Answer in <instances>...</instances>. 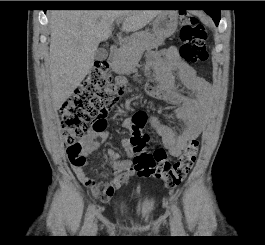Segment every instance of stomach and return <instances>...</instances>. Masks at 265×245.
I'll list each match as a JSON object with an SVG mask.
<instances>
[{"instance_id": "stomach-1", "label": "stomach", "mask_w": 265, "mask_h": 245, "mask_svg": "<svg viewBox=\"0 0 265 245\" xmlns=\"http://www.w3.org/2000/svg\"><path fill=\"white\" fill-rule=\"evenodd\" d=\"M153 34L157 38H167L174 34L178 25V14L175 11H165L153 20Z\"/></svg>"}]
</instances>
